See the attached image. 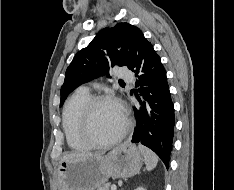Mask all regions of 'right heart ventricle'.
<instances>
[{
    "label": "right heart ventricle",
    "instance_id": "e07e8e85",
    "mask_svg": "<svg viewBox=\"0 0 234 190\" xmlns=\"http://www.w3.org/2000/svg\"><path fill=\"white\" fill-rule=\"evenodd\" d=\"M89 98V92L77 90L66 101L63 109L62 126L65 138L68 146L77 151L90 148V145L83 139L80 132L81 112Z\"/></svg>",
    "mask_w": 234,
    "mask_h": 190
}]
</instances>
